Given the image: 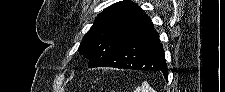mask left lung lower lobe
<instances>
[{"label": "left lung lower lobe", "instance_id": "0a47b994", "mask_svg": "<svg viewBox=\"0 0 225 92\" xmlns=\"http://www.w3.org/2000/svg\"><path fill=\"white\" fill-rule=\"evenodd\" d=\"M97 67L161 71L168 79L162 44L151 21L130 42Z\"/></svg>", "mask_w": 225, "mask_h": 92}]
</instances>
